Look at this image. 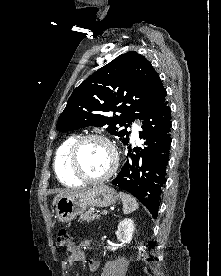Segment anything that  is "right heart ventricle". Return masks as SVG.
Returning a JSON list of instances; mask_svg holds the SVG:
<instances>
[{"label":"right heart ventricle","instance_id":"e07e8e85","mask_svg":"<svg viewBox=\"0 0 221 276\" xmlns=\"http://www.w3.org/2000/svg\"><path fill=\"white\" fill-rule=\"evenodd\" d=\"M76 139V136L72 135L64 139L61 144L58 146L55 158H54V169L59 180L66 185H78L80 180L72 175L69 170L67 163V154L69 148L73 141Z\"/></svg>","mask_w":221,"mask_h":276}]
</instances>
